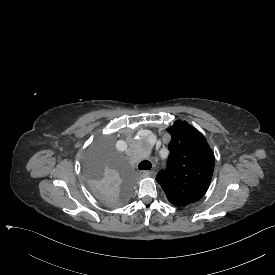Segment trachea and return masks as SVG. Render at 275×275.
I'll return each instance as SVG.
<instances>
[{
	"mask_svg": "<svg viewBox=\"0 0 275 275\" xmlns=\"http://www.w3.org/2000/svg\"><path fill=\"white\" fill-rule=\"evenodd\" d=\"M152 167V164L148 160H144L139 163L138 168L140 170H150Z\"/></svg>",
	"mask_w": 275,
	"mask_h": 275,
	"instance_id": "3493384b",
	"label": "trachea"
}]
</instances>
